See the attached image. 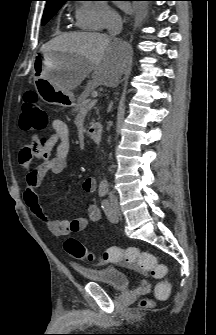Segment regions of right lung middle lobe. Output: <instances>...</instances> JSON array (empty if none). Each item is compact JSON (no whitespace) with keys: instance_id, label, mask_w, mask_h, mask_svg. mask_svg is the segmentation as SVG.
Returning <instances> with one entry per match:
<instances>
[{"instance_id":"dd1d6c3e","label":"right lung middle lobe","mask_w":216,"mask_h":335,"mask_svg":"<svg viewBox=\"0 0 216 335\" xmlns=\"http://www.w3.org/2000/svg\"><path fill=\"white\" fill-rule=\"evenodd\" d=\"M64 3H56L47 5L44 10L43 18H42V25H45L61 8Z\"/></svg>"}]
</instances>
